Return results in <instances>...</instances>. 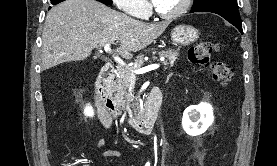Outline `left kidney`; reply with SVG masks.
Segmentation results:
<instances>
[{
	"label": "left kidney",
	"mask_w": 277,
	"mask_h": 166,
	"mask_svg": "<svg viewBox=\"0 0 277 166\" xmlns=\"http://www.w3.org/2000/svg\"><path fill=\"white\" fill-rule=\"evenodd\" d=\"M214 122L213 108L209 103L201 102L198 105L188 107L182 118V127L190 136H198Z\"/></svg>",
	"instance_id": "5707ae66"
}]
</instances>
